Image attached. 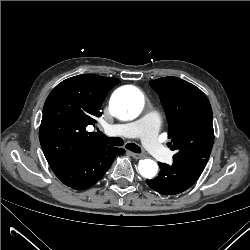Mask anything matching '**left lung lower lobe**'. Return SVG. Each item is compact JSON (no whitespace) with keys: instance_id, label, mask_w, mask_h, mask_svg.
<instances>
[{"instance_id":"left-lung-lower-lobe-1","label":"left lung lower lobe","mask_w":250,"mask_h":250,"mask_svg":"<svg viewBox=\"0 0 250 250\" xmlns=\"http://www.w3.org/2000/svg\"><path fill=\"white\" fill-rule=\"evenodd\" d=\"M207 161L205 159H189L173 161L172 165L158 163L160 172L146 183L163 195H175L191 187L201 175Z\"/></svg>"}]
</instances>
